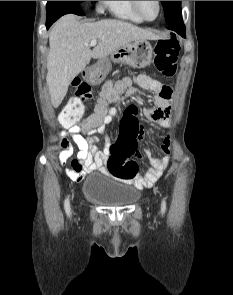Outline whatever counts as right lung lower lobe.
<instances>
[{
	"label": "right lung lower lobe",
	"instance_id": "obj_1",
	"mask_svg": "<svg viewBox=\"0 0 233 295\" xmlns=\"http://www.w3.org/2000/svg\"><path fill=\"white\" fill-rule=\"evenodd\" d=\"M67 13H74L77 15H84L81 4H69L65 7L56 9V10H49L47 11V20H46V28L49 29V27L62 15H65Z\"/></svg>",
	"mask_w": 233,
	"mask_h": 295
}]
</instances>
